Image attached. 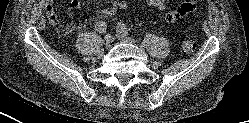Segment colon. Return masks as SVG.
<instances>
[{
  "mask_svg": "<svg viewBox=\"0 0 249 123\" xmlns=\"http://www.w3.org/2000/svg\"><path fill=\"white\" fill-rule=\"evenodd\" d=\"M181 47L184 53L192 54L196 49V44L192 37L185 36L181 41Z\"/></svg>",
  "mask_w": 249,
  "mask_h": 123,
  "instance_id": "1",
  "label": "colon"
}]
</instances>
